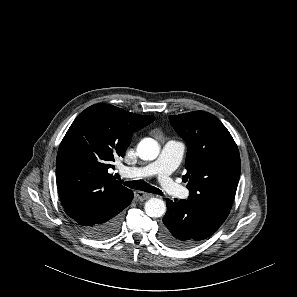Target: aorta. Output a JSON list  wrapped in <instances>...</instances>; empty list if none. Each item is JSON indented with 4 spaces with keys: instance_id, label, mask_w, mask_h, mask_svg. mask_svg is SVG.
<instances>
[{
    "instance_id": "1",
    "label": "aorta",
    "mask_w": 297,
    "mask_h": 297,
    "mask_svg": "<svg viewBox=\"0 0 297 297\" xmlns=\"http://www.w3.org/2000/svg\"><path fill=\"white\" fill-rule=\"evenodd\" d=\"M160 148L158 143L151 138L141 140L137 146V155L142 160H154L159 155ZM145 212L149 217L159 218L166 212V204L159 198H150L145 203Z\"/></svg>"
}]
</instances>
